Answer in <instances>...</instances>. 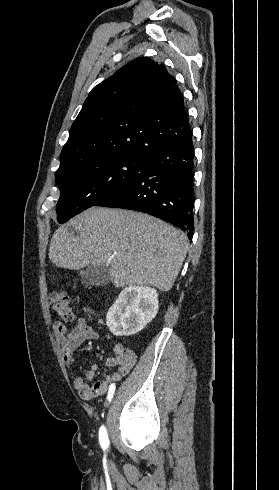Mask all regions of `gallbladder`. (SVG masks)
I'll list each match as a JSON object with an SVG mask.
<instances>
[{
	"label": "gallbladder",
	"instance_id": "1",
	"mask_svg": "<svg viewBox=\"0 0 279 490\" xmlns=\"http://www.w3.org/2000/svg\"><path fill=\"white\" fill-rule=\"evenodd\" d=\"M109 270L105 266H88L80 270V276L88 286H104L109 282Z\"/></svg>",
	"mask_w": 279,
	"mask_h": 490
}]
</instances>
